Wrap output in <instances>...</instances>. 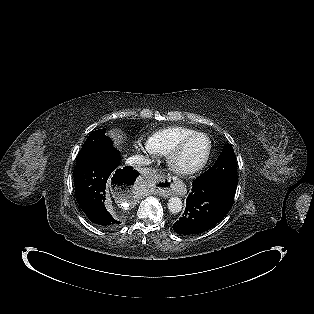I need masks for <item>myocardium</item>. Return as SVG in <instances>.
Wrapping results in <instances>:
<instances>
[{
  "label": "myocardium",
  "instance_id": "f54148a6",
  "mask_svg": "<svg viewBox=\"0 0 314 314\" xmlns=\"http://www.w3.org/2000/svg\"><path fill=\"white\" fill-rule=\"evenodd\" d=\"M202 137L206 140L207 149L203 158L194 164H185L183 162V156L187 149V146L195 138ZM212 153V142L209 136L202 132H195L186 138L173 150L167 158L168 167L177 174L180 175H193L200 172L208 164Z\"/></svg>",
  "mask_w": 314,
  "mask_h": 314
}]
</instances>
